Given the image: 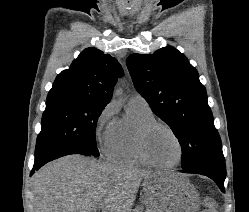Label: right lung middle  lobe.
Segmentation results:
<instances>
[{
    "instance_id": "1",
    "label": "right lung middle lobe",
    "mask_w": 249,
    "mask_h": 212,
    "mask_svg": "<svg viewBox=\"0 0 249 212\" xmlns=\"http://www.w3.org/2000/svg\"><path fill=\"white\" fill-rule=\"evenodd\" d=\"M104 108L103 105L78 98L47 99L35 155L71 147L79 149L82 155L99 156L95 131Z\"/></svg>"
}]
</instances>
